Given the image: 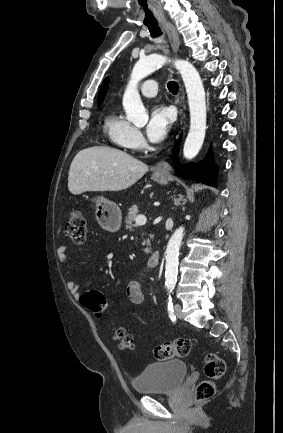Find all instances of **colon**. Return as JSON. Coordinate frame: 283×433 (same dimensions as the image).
Segmentation results:
<instances>
[{
  "label": "colon",
  "instance_id": "obj_1",
  "mask_svg": "<svg viewBox=\"0 0 283 433\" xmlns=\"http://www.w3.org/2000/svg\"><path fill=\"white\" fill-rule=\"evenodd\" d=\"M65 234L76 244H83L87 240V224L85 216L80 211L71 212L64 225ZM80 303L95 314L101 317L107 308V302L103 295L96 290L85 292ZM114 338L118 341L119 347L125 351H131L135 347L134 339L124 328L114 327ZM192 348L191 341L187 338H178L174 341L164 342L156 346L153 355L158 360H169L175 357H186ZM225 362L216 354L207 355L204 366L206 380L202 381L196 390L198 400L210 398L215 392L214 381L219 379L225 372Z\"/></svg>",
  "mask_w": 283,
  "mask_h": 433
}]
</instances>
